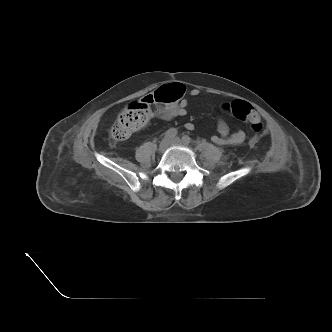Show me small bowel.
Returning <instances> with one entry per match:
<instances>
[{
    "label": "small bowel",
    "instance_id": "obj_1",
    "mask_svg": "<svg viewBox=\"0 0 332 332\" xmlns=\"http://www.w3.org/2000/svg\"><path fill=\"white\" fill-rule=\"evenodd\" d=\"M200 94L198 89H192L190 95L197 97ZM187 101L182 99L179 103L163 107L155 112L158 118L170 121L176 117L185 116L187 114ZM185 128L189 131L194 130L192 123H186ZM218 134L212 135L211 140L218 145H239L245 140V133L242 130L230 132L228 124L223 120L217 121Z\"/></svg>",
    "mask_w": 332,
    "mask_h": 332
}]
</instances>
